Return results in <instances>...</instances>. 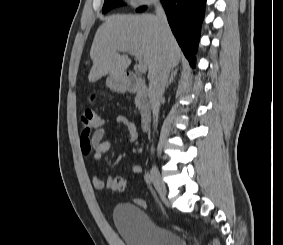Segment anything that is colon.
I'll use <instances>...</instances> for the list:
<instances>
[{
  "instance_id": "1",
  "label": "colon",
  "mask_w": 283,
  "mask_h": 245,
  "mask_svg": "<svg viewBox=\"0 0 283 245\" xmlns=\"http://www.w3.org/2000/svg\"><path fill=\"white\" fill-rule=\"evenodd\" d=\"M81 121H82V130L84 131H90L102 125L101 118L91 108H87L82 112ZM126 187H127V182L125 178L121 176L114 177L112 183L113 190L121 192L124 191ZM134 203L142 208H145L147 206L146 201L141 198H135ZM213 245H219V244L217 241H214Z\"/></svg>"
}]
</instances>
